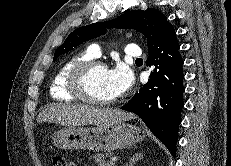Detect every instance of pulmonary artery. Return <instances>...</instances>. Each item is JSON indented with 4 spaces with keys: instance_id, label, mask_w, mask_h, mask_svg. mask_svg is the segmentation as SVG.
Wrapping results in <instances>:
<instances>
[{
    "instance_id": "1",
    "label": "pulmonary artery",
    "mask_w": 231,
    "mask_h": 166,
    "mask_svg": "<svg viewBox=\"0 0 231 166\" xmlns=\"http://www.w3.org/2000/svg\"><path fill=\"white\" fill-rule=\"evenodd\" d=\"M89 50L95 57H99L101 55V48L97 44L91 45ZM123 51L127 56L133 57V58H139L141 57V54H142L137 44H127L123 48Z\"/></svg>"
}]
</instances>
